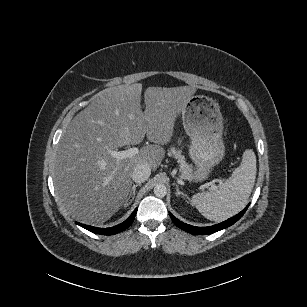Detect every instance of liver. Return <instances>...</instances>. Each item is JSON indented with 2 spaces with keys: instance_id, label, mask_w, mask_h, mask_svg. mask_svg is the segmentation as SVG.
<instances>
[{
  "instance_id": "liver-1",
  "label": "liver",
  "mask_w": 307,
  "mask_h": 307,
  "mask_svg": "<svg viewBox=\"0 0 307 307\" xmlns=\"http://www.w3.org/2000/svg\"><path fill=\"white\" fill-rule=\"evenodd\" d=\"M141 84L103 89L67 127L54 157L52 171L58 203L78 221L99 225L126 201L133 169L139 162L155 169L164 150L143 147L116 164L113 152L141 143L171 139L175 117L195 93L193 86L148 87L141 108ZM112 177L109 182L106 178Z\"/></svg>"
}]
</instances>
